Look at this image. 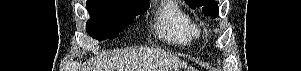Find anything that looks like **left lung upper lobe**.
<instances>
[{
  "label": "left lung upper lobe",
  "instance_id": "5c2ea615",
  "mask_svg": "<svg viewBox=\"0 0 301 71\" xmlns=\"http://www.w3.org/2000/svg\"><path fill=\"white\" fill-rule=\"evenodd\" d=\"M193 9L200 7L205 15L216 17L218 15V4L215 0H185Z\"/></svg>",
  "mask_w": 301,
  "mask_h": 71
}]
</instances>
